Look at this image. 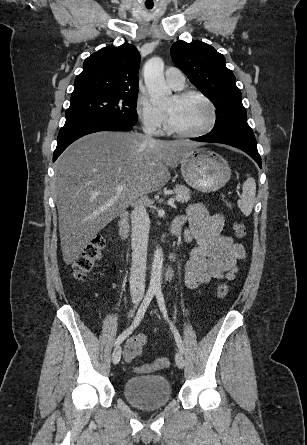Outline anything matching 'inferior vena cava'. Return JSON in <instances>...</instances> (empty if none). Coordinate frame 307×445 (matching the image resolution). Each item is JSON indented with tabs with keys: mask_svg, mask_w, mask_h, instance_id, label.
<instances>
[{
	"mask_svg": "<svg viewBox=\"0 0 307 445\" xmlns=\"http://www.w3.org/2000/svg\"><path fill=\"white\" fill-rule=\"evenodd\" d=\"M155 126L144 124L143 132L147 142H155L152 132ZM132 218V267L130 273V291L133 303L138 304L145 291V271L147 261V247L149 235V218L143 204L135 206L131 214Z\"/></svg>",
	"mask_w": 307,
	"mask_h": 445,
	"instance_id": "inferior-vena-cava-1",
	"label": "inferior vena cava"
}]
</instances>
